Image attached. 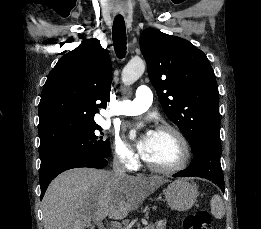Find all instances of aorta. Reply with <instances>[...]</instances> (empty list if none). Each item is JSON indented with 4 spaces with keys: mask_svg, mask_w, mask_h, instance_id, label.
<instances>
[{
    "mask_svg": "<svg viewBox=\"0 0 261 229\" xmlns=\"http://www.w3.org/2000/svg\"><path fill=\"white\" fill-rule=\"evenodd\" d=\"M145 70V62L140 58V56H136V58H131L129 62H127L126 66H124L122 70V80L125 84H132L135 80H138L140 76H142Z\"/></svg>",
    "mask_w": 261,
    "mask_h": 229,
    "instance_id": "aorta-1",
    "label": "aorta"
}]
</instances>
